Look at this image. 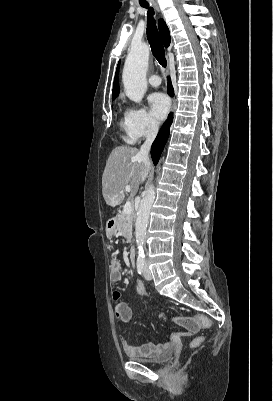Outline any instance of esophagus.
Segmentation results:
<instances>
[{
  "label": "esophagus",
  "mask_w": 273,
  "mask_h": 401,
  "mask_svg": "<svg viewBox=\"0 0 273 401\" xmlns=\"http://www.w3.org/2000/svg\"><path fill=\"white\" fill-rule=\"evenodd\" d=\"M154 5V7H155V9L157 10V11H159V8H158V6H157V4H153ZM169 70V65H168V67H167V71ZM174 108H175V100H174V98H172V111L174 110Z\"/></svg>",
  "instance_id": "esophagus-1"
}]
</instances>
